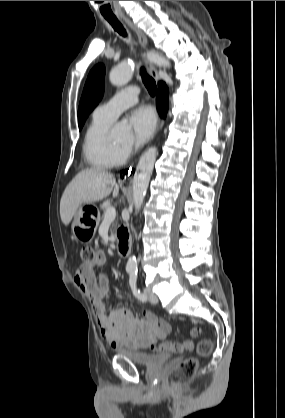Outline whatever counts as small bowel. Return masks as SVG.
<instances>
[{
	"mask_svg": "<svg viewBox=\"0 0 285 418\" xmlns=\"http://www.w3.org/2000/svg\"><path fill=\"white\" fill-rule=\"evenodd\" d=\"M105 263V254L98 252L95 260L81 264L73 277L75 284L91 302L101 336L116 349H135L137 344L147 346L155 339L165 338L171 332V326L150 311H145L141 317L127 308L106 311L104 299L109 294L110 286L106 274L100 270ZM189 342V350L192 351L194 343L191 340Z\"/></svg>",
	"mask_w": 285,
	"mask_h": 418,
	"instance_id": "small-bowel-1",
	"label": "small bowel"
}]
</instances>
